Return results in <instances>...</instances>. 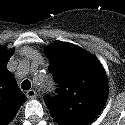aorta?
Instances as JSON below:
<instances>
[{
    "mask_svg": "<svg viewBox=\"0 0 125 125\" xmlns=\"http://www.w3.org/2000/svg\"><path fill=\"white\" fill-rule=\"evenodd\" d=\"M42 86L46 91H52L54 89V83L49 74H45L43 77Z\"/></svg>",
    "mask_w": 125,
    "mask_h": 125,
    "instance_id": "obj_1",
    "label": "aorta"
}]
</instances>
